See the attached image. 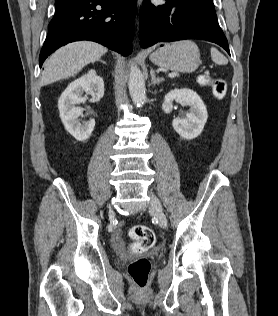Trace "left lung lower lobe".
<instances>
[{"instance_id": "0a47b994", "label": "left lung lower lobe", "mask_w": 278, "mask_h": 316, "mask_svg": "<svg viewBox=\"0 0 278 316\" xmlns=\"http://www.w3.org/2000/svg\"><path fill=\"white\" fill-rule=\"evenodd\" d=\"M198 39L216 43L229 54L227 39L217 17L187 2L166 0L155 7L144 0L140 17V45L147 48L158 42Z\"/></svg>"}]
</instances>
